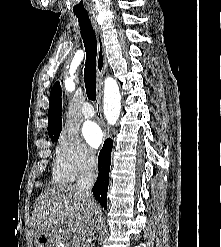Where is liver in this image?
Masks as SVG:
<instances>
[{"label":"liver","instance_id":"liver-1","mask_svg":"<svg viewBox=\"0 0 221 247\" xmlns=\"http://www.w3.org/2000/svg\"><path fill=\"white\" fill-rule=\"evenodd\" d=\"M94 210L99 208L95 203ZM65 224L74 238L86 230V209L76 192L75 186H54L47 188L36 199L31 218V234L55 231Z\"/></svg>","mask_w":221,"mask_h":247}]
</instances>
